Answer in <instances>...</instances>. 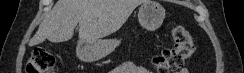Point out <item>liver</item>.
<instances>
[{
	"label": "liver",
	"mask_w": 244,
	"mask_h": 73,
	"mask_svg": "<svg viewBox=\"0 0 244 73\" xmlns=\"http://www.w3.org/2000/svg\"><path fill=\"white\" fill-rule=\"evenodd\" d=\"M146 0H58L40 24L29 46L48 39L58 43L73 37L79 24L80 41H93L118 31L134 9Z\"/></svg>",
	"instance_id": "liver-1"
}]
</instances>
